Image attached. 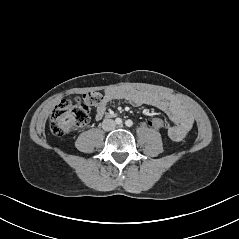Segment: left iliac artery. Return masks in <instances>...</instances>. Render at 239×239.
Instances as JSON below:
<instances>
[{
  "mask_svg": "<svg viewBox=\"0 0 239 239\" xmlns=\"http://www.w3.org/2000/svg\"><path fill=\"white\" fill-rule=\"evenodd\" d=\"M125 125H126L127 127H131V126L133 125V121L130 120V119H128V120H126Z\"/></svg>",
  "mask_w": 239,
  "mask_h": 239,
  "instance_id": "44dca946",
  "label": "left iliac artery"
}]
</instances>
